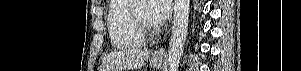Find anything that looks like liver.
I'll use <instances>...</instances> for the list:
<instances>
[{
	"label": "liver",
	"mask_w": 301,
	"mask_h": 71,
	"mask_svg": "<svg viewBox=\"0 0 301 71\" xmlns=\"http://www.w3.org/2000/svg\"><path fill=\"white\" fill-rule=\"evenodd\" d=\"M149 58V51L140 48L114 51L102 63L101 71H129L141 68Z\"/></svg>",
	"instance_id": "obj_1"
}]
</instances>
